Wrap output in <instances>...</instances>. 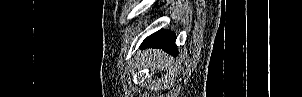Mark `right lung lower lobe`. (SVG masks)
Masks as SVG:
<instances>
[{
	"instance_id": "98d812e1",
	"label": "right lung lower lobe",
	"mask_w": 302,
	"mask_h": 97,
	"mask_svg": "<svg viewBox=\"0 0 302 97\" xmlns=\"http://www.w3.org/2000/svg\"><path fill=\"white\" fill-rule=\"evenodd\" d=\"M146 47L161 48L164 51L175 56L177 54L175 35L172 32L166 30L158 31L147 37L141 44V48Z\"/></svg>"
}]
</instances>
